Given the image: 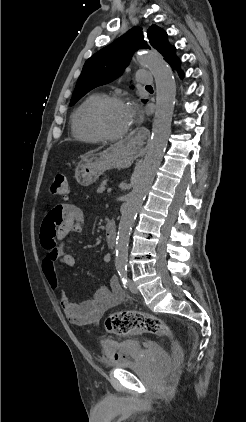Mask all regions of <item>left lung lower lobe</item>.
<instances>
[{
	"mask_svg": "<svg viewBox=\"0 0 246 422\" xmlns=\"http://www.w3.org/2000/svg\"><path fill=\"white\" fill-rule=\"evenodd\" d=\"M167 62H168V63H169L172 67H174V68L177 70L179 77L182 79V78L184 77V73H183V71L180 69V64H181V61H180V59H179V58L175 55V52H173V53H172V55L168 58Z\"/></svg>",
	"mask_w": 246,
	"mask_h": 422,
	"instance_id": "1",
	"label": "left lung lower lobe"
}]
</instances>
